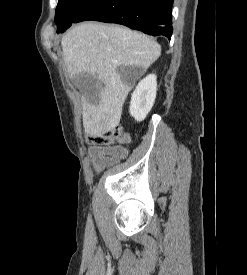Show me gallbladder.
Returning <instances> with one entry per match:
<instances>
[{
	"label": "gallbladder",
	"mask_w": 247,
	"mask_h": 275,
	"mask_svg": "<svg viewBox=\"0 0 247 275\" xmlns=\"http://www.w3.org/2000/svg\"><path fill=\"white\" fill-rule=\"evenodd\" d=\"M72 83L86 96L87 98L92 95H97L100 91L102 84L99 80L91 75L81 73L72 78Z\"/></svg>",
	"instance_id": "obj_1"
}]
</instances>
